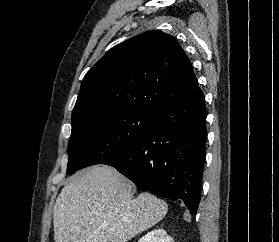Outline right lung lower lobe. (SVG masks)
I'll return each mask as SVG.
<instances>
[{
    "label": "right lung lower lobe",
    "instance_id": "98d812e1",
    "mask_svg": "<svg viewBox=\"0 0 279 242\" xmlns=\"http://www.w3.org/2000/svg\"><path fill=\"white\" fill-rule=\"evenodd\" d=\"M206 115L204 94L163 108L143 139L100 164L115 167L139 190L182 199L196 214L205 163Z\"/></svg>",
    "mask_w": 279,
    "mask_h": 242
}]
</instances>
